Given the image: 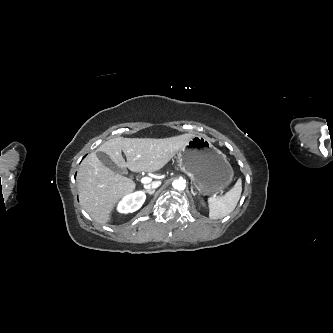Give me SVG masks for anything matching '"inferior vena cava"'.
I'll return each mask as SVG.
<instances>
[{
    "label": "inferior vena cava",
    "instance_id": "inferior-vena-cava-1",
    "mask_svg": "<svg viewBox=\"0 0 333 333\" xmlns=\"http://www.w3.org/2000/svg\"><path fill=\"white\" fill-rule=\"evenodd\" d=\"M161 185V182L160 181H154L152 182L151 184L149 185H144V188L146 190H154L156 189L157 187H159Z\"/></svg>",
    "mask_w": 333,
    "mask_h": 333
}]
</instances>
